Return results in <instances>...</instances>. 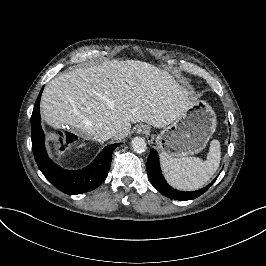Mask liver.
Wrapping results in <instances>:
<instances>
[{"label":"liver","instance_id":"liver-1","mask_svg":"<svg viewBox=\"0 0 266 266\" xmlns=\"http://www.w3.org/2000/svg\"><path fill=\"white\" fill-rule=\"evenodd\" d=\"M189 91L165 70L139 60H105L51 80L41 98L46 123L70 127L96 140L115 129L113 140L127 137L131 123L163 128L194 103Z\"/></svg>","mask_w":266,"mask_h":266}]
</instances>
